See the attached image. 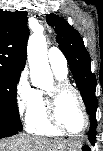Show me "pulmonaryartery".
Masks as SVG:
<instances>
[{"label": "pulmonary artery", "instance_id": "obj_1", "mask_svg": "<svg viewBox=\"0 0 103 151\" xmlns=\"http://www.w3.org/2000/svg\"><path fill=\"white\" fill-rule=\"evenodd\" d=\"M48 61L52 68L67 72V60L64 54L56 47H51L48 51Z\"/></svg>", "mask_w": 103, "mask_h": 151}]
</instances>
